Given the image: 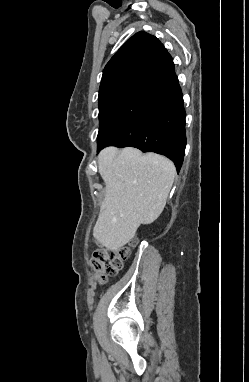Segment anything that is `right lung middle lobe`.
I'll use <instances>...</instances> for the list:
<instances>
[{
	"label": "right lung middle lobe",
	"mask_w": 249,
	"mask_h": 382,
	"mask_svg": "<svg viewBox=\"0 0 249 382\" xmlns=\"http://www.w3.org/2000/svg\"><path fill=\"white\" fill-rule=\"evenodd\" d=\"M150 104L141 99H124L99 108L98 147L128 127Z\"/></svg>",
	"instance_id": "obj_1"
}]
</instances>
